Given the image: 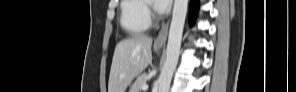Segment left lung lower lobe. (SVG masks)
Instances as JSON below:
<instances>
[{
	"mask_svg": "<svg viewBox=\"0 0 296 92\" xmlns=\"http://www.w3.org/2000/svg\"><path fill=\"white\" fill-rule=\"evenodd\" d=\"M197 9H198V0H191V12H190L191 23L194 21Z\"/></svg>",
	"mask_w": 296,
	"mask_h": 92,
	"instance_id": "obj_1",
	"label": "left lung lower lobe"
}]
</instances>
